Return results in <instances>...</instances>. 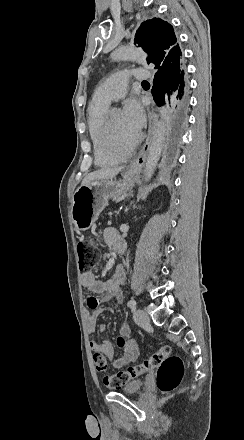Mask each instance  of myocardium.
<instances>
[{
  "mask_svg": "<svg viewBox=\"0 0 244 440\" xmlns=\"http://www.w3.org/2000/svg\"><path fill=\"white\" fill-rule=\"evenodd\" d=\"M115 111H121L120 108L118 107H111L108 108V110L106 111L105 115H104V119H103V125L101 126V129L104 130V132H102L100 135L102 136L100 139L102 141H104L101 145L103 147H107L106 149L108 151H110L112 148L109 146V140L112 134L114 133L113 130H110L111 127V115L113 112ZM130 145V142L128 140H126L124 145H118L117 147H124V146H128Z\"/></svg>",
  "mask_w": 244,
  "mask_h": 440,
  "instance_id": "1",
  "label": "myocardium"
}]
</instances>
